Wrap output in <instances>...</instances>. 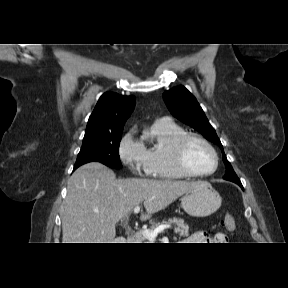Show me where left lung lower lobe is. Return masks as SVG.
<instances>
[{"mask_svg": "<svg viewBox=\"0 0 288 288\" xmlns=\"http://www.w3.org/2000/svg\"><path fill=\"white\" fill-rule=\"evenodd\" d=\"M234 183L238 184V185L243 189V186H242V184H241L240 181H236V182H234Z\"/></svg>", "mask_w": 288, "mask_h": 288, "instance_id": "1", "label": "left lung lower lobe"}]
</instances>
